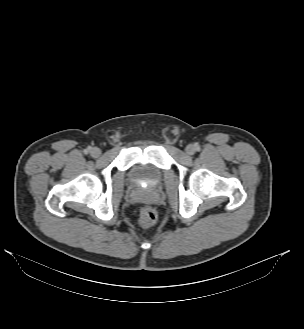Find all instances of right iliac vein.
Returning a JSON list of instances; mask_svg holds the SVG:
<instances>
[{
	"label": "right iliac vein",
	"mask_w": 304,
	"mask_h": 329,
	"mask_svg": "<svg viewBox=\"0 0 304 329\" xmlns=\"http://www.w3.org/2000/svg\"><path fill=\"white\" fill-rule=\"evenodd\" d=\"M90 154H91L92 157L97 158V157L100 156L101 150L97 147H94V148L91 149Z\"/></svg>",
	"instance_id": "1"
}]
</instances>
